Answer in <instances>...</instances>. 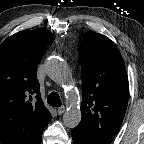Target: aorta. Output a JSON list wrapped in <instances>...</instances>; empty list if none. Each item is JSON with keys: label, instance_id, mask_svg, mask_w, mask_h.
Returning <instances> with one entry per match:
<instances>
[{"label": "aorta", "instance_id": "aorta-1", "mask_svg": "<svg viewBox=\"0 0 144 144\" xmlns=\"http://www.w3.org/2000/svg\"><path fill=\"white\" fill-rule=\"evenodd\" d=\"M46 72L49 78L57 83H66L70 80L71 74L67 64L58 58H51L47 61ZM76 98L74 92L67 94V100L72 104ZM81 111L79 108L72 106L63 114V124L69 128H75L81 121Z\"/></svg>", "mask_w": 144, "mask_h": 144}]
</instances>
